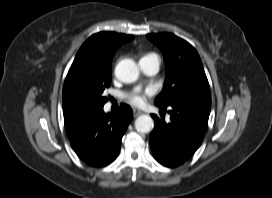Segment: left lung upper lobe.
<instances>
[{
    "label": "left lung upper lobe",
    "mask_w": 272,
    "mask_h": 198,
    "mask_svg": "<svg viewBox=\"0 0 272 198\" xmlns=\"http://www.w3.org/2000/svg\"><path fill=\"white\" fill-rule=\"evenodd\" d=\"M146 37L160 48L166 65L164 87L155 104L211 108L209 83L195 48L171 33L149 34Z\"/></svg>",
    "instance_id": "1"
}]
</instances>
